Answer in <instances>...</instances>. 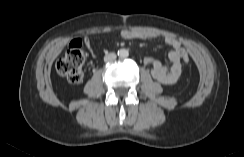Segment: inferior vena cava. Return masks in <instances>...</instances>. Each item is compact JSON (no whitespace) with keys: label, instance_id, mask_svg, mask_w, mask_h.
<instances>
[{"label":"inferior vena cava","instance_id":"1","mask_svg":"<svg viewBox=\"0 0 244 157\" xmlns=\"http://www.w3.org/2000/svg\"><path fill=\"white\" fill-rule=\"evenodd\" d=\"M115 59H116L115 53H109V54L105 55V57H104L105 62H111V61H114Z\"/></svg>","mask_w":244,"mask_h":157}]
</instances>
